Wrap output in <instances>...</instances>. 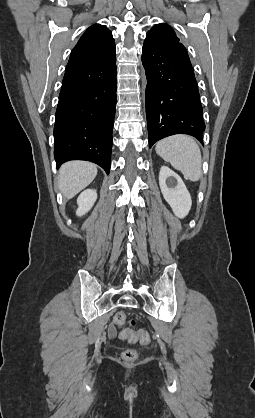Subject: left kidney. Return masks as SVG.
<instances>
[{
  "label": "left kidney",
  "instance_id": "1",
  "mask_svg": "<svg viewBox=\"0 0 255 418\" xmlns=\"http://www.w3.org/2000/svg\"><path fill=\"white\" fill-rule=\"evenodd\" d=\"M159 185L164 199L178 218H184L190 211L192 200L181 177L169 167L162 166Z\"/></svg>",
  "mask_w": 255,
  "mask_h": 418
}]
</instances>
